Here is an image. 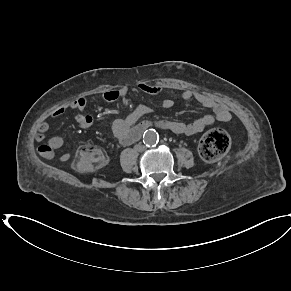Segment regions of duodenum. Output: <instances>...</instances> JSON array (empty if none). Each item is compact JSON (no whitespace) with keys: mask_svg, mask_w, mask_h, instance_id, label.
Here are the masks:
<instances>
[{"mask_svg":"<svg viewBox=\"0 0 291 291\" xmlns=\"http://www.w3.org/2000/svg\"><path fill=\"white\" fill-rule=\"evenodd\" d=\"M152 126H153V125H145V126H144L145 131H146L147 129H149L150 127H152ZM145 131H144V132H145ZM144 132H143V133H144ZM142 135H143V134H142Z\"/></svg>","mask_w":291,"mask_h":291,"instance_id":"obj_1","label":"duodenum"}]
</instances>
